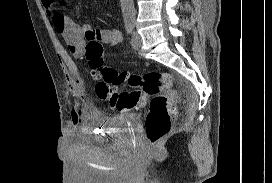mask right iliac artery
I'll list each match as a JSON object with an SVG mask.
<instances>
[{
	"instance_id": "obj_1",
	"label": "right iliac artery",
	"mask_w": 272,
	"mask_h": 183,
	"mask_svg": "<svg viewBox=\"0 0 272 183\" xmlns=\"http://www.w3.org/2000/svg\"><path fill=\"white\" fill-rule=\"evenodd\" d=\"M127 34H131L133 30V25L132 24H126L125 26Z\"/></svg>"
}]
</instances>
